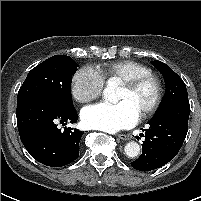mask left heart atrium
I'll return each instance as SVG.
<instances>
[{
    "label": "left heart atrium",
    "mask_w": 201,
    "mask_h": 201,
    "mask_svg": "<svg viewBox=\"0 0 201 201\" xmlns=\"http://www.w3.org/2000/svg\"><path fill=\"white\" fill-rule=\"evenodd\" d=\"M139 115L127 101L115 104L101 102L85 107L81 112V120L87 128L114 133L134 126Z\"/></svg>",
    "instance_id": "obj_1"
}]
</instances>
